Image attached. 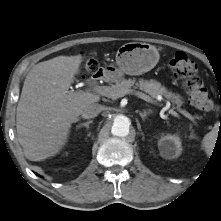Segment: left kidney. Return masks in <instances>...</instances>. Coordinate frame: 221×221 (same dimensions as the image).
Listing matches in <instances>:
<instances>
[{"label": "left kidney", "mask_w": 221, "mask_h": 221, "mask_svg": "<svg viewBox=\"0 0 221 221\" xmlns=\"http://www.w3.org/2000/svg\"><path fill=\"white\" fill-rule=\"evenodd\" d=\"M160 155L166 159L178 157L182 152L181 140L178 135H163L158 141Z\"/></svg>", "instance_id": "5707ae66"}]
</instances>
